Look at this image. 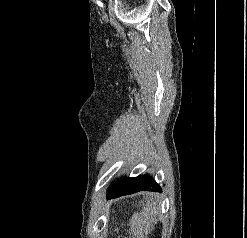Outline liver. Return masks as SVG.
<instances>
[{
  "label": "liver",
  "instance_id": "6515ba94",
  "mask_svg": "<svg viewBox=\"0 0 247 238\" xmlns=\"http://www.w3.org/2000/svg\"><path fill=\"white\" fill-rule=\"evenodd\" d=\"M156 214H158V209L151 198L147 200L143 211L134 213L130 219L129 225L133 238H148V234L155 229V224L157 223Z\"/></svg>",
  "mask_w": 247,
  "mask_h": 238
}]
</instances>
